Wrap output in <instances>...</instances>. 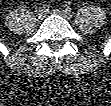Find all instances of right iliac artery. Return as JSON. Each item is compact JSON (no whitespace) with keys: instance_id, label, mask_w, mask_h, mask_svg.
I'll list each match as a JSON object with an SVG mask.
<instances>
[{"instance_id":"1","label":"right iliac artery","mask_w":111,"mask_h":106,"mask_svg":"<svg viewBox=\"0 0 111 106\" xmlns=\"http://www.w3.org/2000/svg\"><path fill=\"white\" fill-rule=\"evenodd\" d=\"M42 10H44L45 12H48L50 10V6L49 5H44Z\"/></svg>"}]
</instances>
